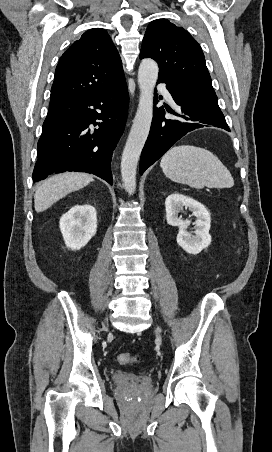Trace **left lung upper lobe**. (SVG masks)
I'll return each mask as SVG.
<instances>
[{"label":"left lung upper lobe","mask_w":272,"mask_h":452,"mask_svg":"<svg viewBox=\"0 0 272 452\" xmlns=\"http://www.w3.org/2000/svg\"><path fill=\"white\" fill-rule=\"evenodd\" d=\"M143 58L158 63L159 79H171L215 94L202 49L182 27L166 19L152 21L141 47L140 59Z\"/></svg>","instance_id":"1"}]
</instances>
